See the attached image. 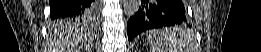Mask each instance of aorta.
<instances>
[{
	"instance_id": "1",
	"label": "aorta",
	"mask_w": 261,
	"mask_h": 52,
	"mask_svg": "<svg viewBox=\"0 0 261 52\" xmlns=\"http://www.w3.org/2000/svg\"><path fill=\"white\" fill-rule=\"evenodd\" d=\"M139 0H123V11L127 17H133L139 10Z\"/></svg>"
}]
</instances>
